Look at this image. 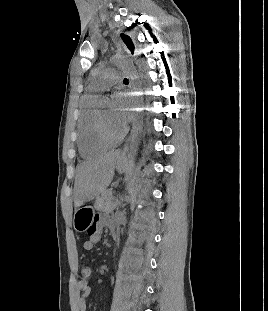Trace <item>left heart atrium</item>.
Listing matches in <instances>:
<instances>
[{
  "label": "left heart atrium",
  "mask_w": 268,
  "mask_h": 311,
  "mask_svg": "<svg viewBox=\"0 0 268 311\" xmlns=\"http://www.w3.org/2000/svg\"><path fill=\"white\" fill-rule=\"evenodd\" d=\"M125 94L117 93L114 95V115L118 122H120L123 126L128 122L129 120V114L127 111L130 109L124 108V105L126 102L122 99Z\"/></svg>",
  "instance_id": "left-heart-atrium-1"
}]
</instances>
